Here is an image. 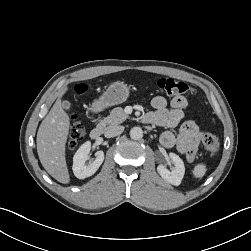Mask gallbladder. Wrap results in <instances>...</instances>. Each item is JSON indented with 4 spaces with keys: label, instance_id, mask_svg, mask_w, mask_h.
Returning a JSON list of instances; mask_svg holds the SVG:
<instances>
[{
    "label": "gallbladder",
    "instance_id": "obj_1",
    "mask_svg": "<svg viewBox=\"0 0 251 251\" xmlns=\"http://www.w3.org/2000/svg\"><path fill=\"white\" fill-rule=\"evenodd\" d=\"M62 107L65 110H69L70 107H71V103L69 101L65 100V101L62 102Z\"/></svg>",
    "mask_w": 251,
    "mask_h": 251
}]
</instances>
